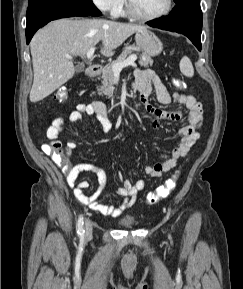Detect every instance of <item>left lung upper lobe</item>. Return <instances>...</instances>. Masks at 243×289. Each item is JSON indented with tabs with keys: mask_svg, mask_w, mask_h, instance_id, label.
Returning <instances> with one entry per match:
<instances>
[{
	"mask_svg": "<svg viewBox=\"0 0 243 289\" xmlns=\"http://www.w3.org/2000/svg\"><path fill=\"white\" fill-rule=\"evenodd\" d=\"M181 1H183V0H174L175 3H179Z\"/></svg>",
	"mask_w": 243,
	"mask_h": 289,
	"instance_id": "1",
	"label": "left lung upper lobe"
}]
</instances>
